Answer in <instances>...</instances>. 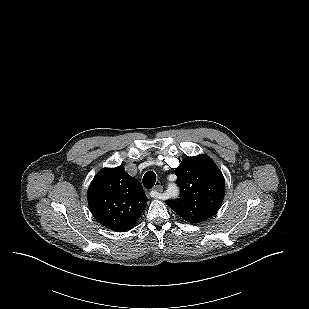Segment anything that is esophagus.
Returning a JSON list of instances; mask_svg holds the SVG:
<instances>
[{
	"label": "esophagus",
	"instance_id": "34e87169",
	"mask_svg": "<svg viewBox=\"0 0 309 309\" xmlns=\"http://www.w3.org/2000/svg\"><path fill=\"white\" fill-rule=\"evenodd\" d=\"M163 191V187L161 185H157L153 188L151 195L156 199H162L161 192Z\"/></svg>",
	"mask_w": 309,
	"mask_h": 309
}]
</instances>
